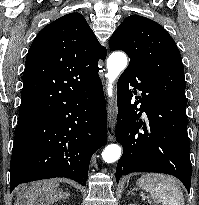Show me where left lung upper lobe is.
Instances as JSON below:
<instances>
[{"label":"left lung upper lobe","mask_w":199,"mask_h":205,"mask_svg":"<svg viewBox=\"0 0 199 205\" xmlns=\"http://www.w3.org/2000/svg\"><path fill=\"white\" fill-rule=\"evenodd\" d=\"M110 49L126 52L148 82L164 93L186 101L180 52L172 37L158 23L143 16H128L111 36Z\"/></svg>","instance_id":"1"}]
</instances>
